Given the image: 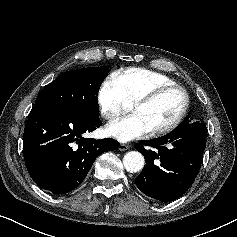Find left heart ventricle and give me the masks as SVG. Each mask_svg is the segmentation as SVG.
<instances>
[{
  "label": "left heart ventricle",
  "instance_id": "obj_1",
  "mask_svg": "<svg viewBox=\"0 0 237 237\" xmlns=\"http://www.w3.org/2000/svg\"><path fill=\"white\" fill-rule=\"evenodd\" d=\"M183 101L182 93L172 90L151 103L132 106L130 110L133 114L140 116L151 131L171 123L181 110Z\"/></svg>",
  "mask_w": 237,
  "mask_h": 237
}]
</instances>
